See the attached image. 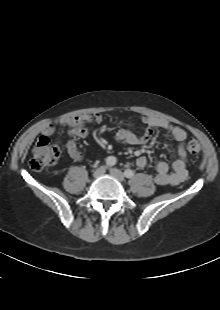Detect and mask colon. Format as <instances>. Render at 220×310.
Here are the masks:
<instances>
[{
	"label": "colon",
	"mask_w": 220,
	"mask_h": 310,
	"mask_svg": "<svg viewBox=\"0 0 220 310\" xmlns=\"http://www.w3.org/2000/svg\"><path fill=\"white\" fill-rule=\"evenodd\" d=\"M186 150L191 155H197L201 152V145L199 142L191 140L187 143ZM59 156V146L49 137L42 136L34 145L29 165L34 170H42L53 166L58 161Z\"/></svg>",
	"instance_id": "5ec220e1"
}]
</instances>
